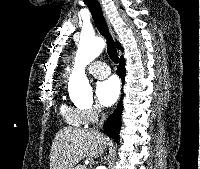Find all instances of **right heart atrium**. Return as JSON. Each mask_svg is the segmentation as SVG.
<instances>
[{"mask_svg":"<svg viewBox=\"0 0 200 169\" xmlns=\"http://www.w3.org/2000/svg\"><path fill=\"white\" fill-rule=\"evenodd\" d=\"M84 125L96 123L103 116L102 108L97 104H92L88 107L79 109Z\"/></svg>","mask_w":200,"mask_h":169,"instance_id":"1","label":"right heart atrium"}]
</instances>
